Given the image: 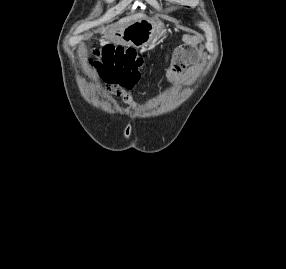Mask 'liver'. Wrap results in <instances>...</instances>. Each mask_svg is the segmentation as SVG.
<instances>
[{"label": "liver", "mask_w": 286, "mask_h": 269, "mask_svg": "<svg viewBox=\"0 0 286 269\" xmlns=\"http://www.w3.org/2000/svg\"><path fill=\"white\" fill-rule=\"evenodd\" d=\"M138 20H149V18L144 14L138 13V14L120 19L115 25L125 28L131 25L133 22L138 21Z\"/></svg>", "instance_id": "obj_1"}]
</instances>
